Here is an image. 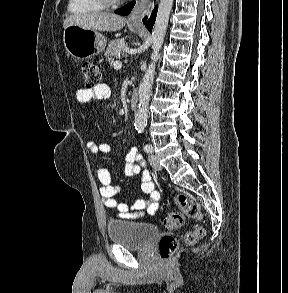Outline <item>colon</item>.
Returning a JSON list of instances; mask_svg holds the SVG:
<instances>
[{"label": "colon", "mask_w": 288, "mask_h": 293, "mask_svg": "<svg viewBox=\"0 0 288 293\" xmlns=\"http://www.w3.org/2000/svg\"><path fill=\"white\" fill-rule=\"evenodd\" d=\"M83 78L87 89L93 90L100 85L101 71L93 63L86 62L82 67ZM175 203L181 212H169L163 218V225L167 229H176L184 223V216L192 219H200L201 211L198 204L192 197L186 194H178L175 197ZM204 230L200 227L186 232L181 239L171 235L163 236L159 241V253L162 259L170 258L178 249L180 244L194 245L202 238Z\"/></svg>", "instance_id": "colon-1"}]
</instances>
